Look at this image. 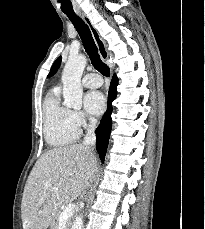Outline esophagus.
Returning a JSON list of instances; mask_svg holds the SVG:
<instances>
[{"label":"esophagus","instance_id":"34e87169","mask_svg":"<svg viewBox=\"0 0 205 229\" xmlns=\"http://www.w3.org/2000/svg\"><path fill=\"white\" fill-rule=\"evenodd\" d=\"M81 18L88 25V27L91 31L92 37H93V39H94V41L98 47V51H99L101 58L103 60H106L108 58V52H107L106 45H105L104 41L100 37L99 32L97 31V29L95 28V26L93 25L92 21L90 20V18L88 16L81 15Z\"/></svg>","mask_w":205,"mask_h":229}]
</instances>
